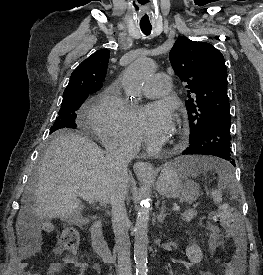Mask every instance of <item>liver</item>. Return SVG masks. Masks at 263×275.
I'll use <instances>...</instances> for the list:
<instances>
[{"label": "liver", "instance_id": "1", "mask_svg": "<svg viewBox=\"0 0 263 275\" xmlns=\"http://www.w3.org/2000/svg\"><path fill=\"white\" fill-rule=\"evenodd\" d=\"M115 187L109 163L95 142L77 133L60 134L45 151L37 184L28 187L22 197L17 230L34 218L73 222L84 208L78 199L79 191L106 204L111 201Z\"/></svg>", "mask_w": 263, "mask_h": 275}]
</instances>
